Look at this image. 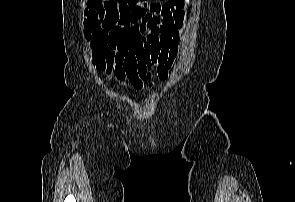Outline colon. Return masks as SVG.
Returning <instances> with one entry per match:
<instances>
[{
	"mask_svg": "<svg viewBox=\"0 0 295 202\" xmlns=\"http://www.w3.org/2000/svg\"><path fill=\"white\" fill-rule=\"evenodd\" d=\"M137 1L138 0H101L103 7L106 9V12L108 14L119 15V16H122L131 12L133 5ZM102 25H103L102 27L95 28L92 33V38H93L95 47H100L106 44V41L108 38L107 31L112 25V20L106 19L102 21ZM152 62H155V61H152Z\"/></svg>",
	"mask_w": 295,
	"mask_h": 202,
	"instance_id": "colon-1",
	"label": "colon"
}]
</instances>
